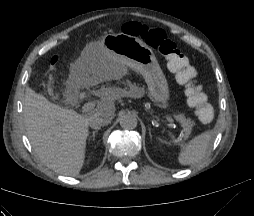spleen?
<instances>
[{
  "label": "spleen",
  "mask_w": 254,
  "mask_h": 216,
  "mask_svg": "<svg viewBox=\"0 0 254 216\" xmlns=\"http://www.w3.org/2000/svg\"><path fill=\"white\" fill-rule=\"evenodd\" d=\"M213 133L206 131L185 144L178 156V161L181 165H191L199 162L206 154Z\"/></svg>",
  "instance_id": "obj_1"
}]
</instances>
